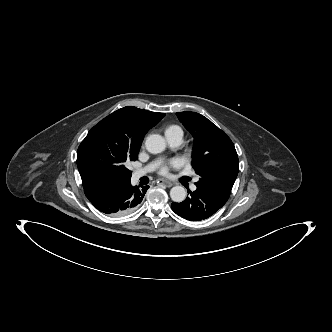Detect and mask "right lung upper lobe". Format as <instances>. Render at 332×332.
Masks as SVG:
<instances>
[{
    "label": "right lung upper lobe",
    "mask_w": 332,
    "mask_h": 332,
    "mask_svg": "<svg viewBox=\"0 0 332 332\" xmlns=\"http://www.w3.org/2000/svg\"><path fill=\"white\" fill-rule=\"evenodd\" d=\"M117 111L124 113L132 123L147 132L165 116V113L151 112L133 106H127Z\"/></svg>",
    "instance_id": "1"
}]
</instances>
